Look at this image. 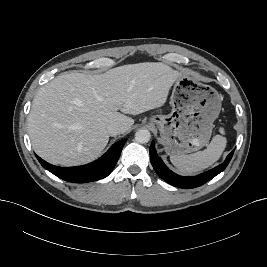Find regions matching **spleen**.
Returning a JSON list of instances; mask_svg holds the SVG:
<instances>
[{"instance_id":"1","label":"spleen","mask_w":267,"mask_h":267,"mask_svg":"<svg viewBox=\"0 0 267 267\" xmlns=\"http://www.w3.org/2000/svg\"><path fill=\"white\" fill-rule=\"evenodd\" d=\"M220 133L224 134V128H220ZM226 147V138L216 135L208 147L190 155H171L172 164L184 174H192L204 170L215 163L222 155Z\"/></svg>"}]
</instances>
